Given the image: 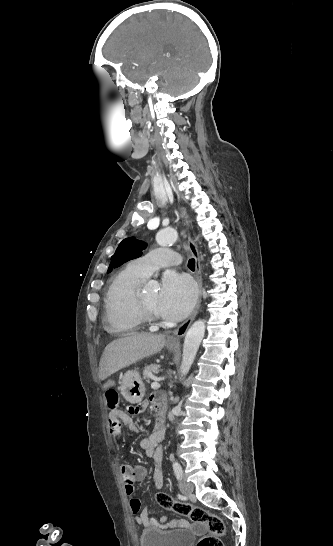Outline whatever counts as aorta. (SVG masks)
Returning a JSON list of instances; mask_svg holds the SVG:
<instances>
[{
	"instance_id": "aorta-1",
	"label": "aorta",
	"mask_w": 333,
	"mask_h": 546,
	"mask_svg": "<svg viewBox=\"0 0 333 546\" xmlns=\"http://www.w3.org/2000/svg\"><path fill=\"white\" fill-rule=\"evenodd\" d=\"M178 232L174 229H164L156 235V241L160 246H167L176 242ZM205 334V322L198 320L192 324L186 333L183 345L182 362L180 367L181 376L186 375L195 359L200 343Z\"/></svg>"
}]
</instances>
